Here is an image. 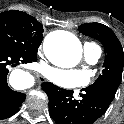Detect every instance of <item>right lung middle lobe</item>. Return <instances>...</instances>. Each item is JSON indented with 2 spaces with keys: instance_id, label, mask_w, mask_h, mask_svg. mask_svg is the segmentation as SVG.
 Segmentation results:
<instances>
[{
  "instance_id": "right-lung-middle-lobe-1",
  "label": "right lung middle lobe",
  "mask_w": 124,
  "mask_h": 124,
  "mask_svg": "<svg viewBox=\"0 0 124 124\" xmlns=\"http://www.w3.org/2000/svg\"><path fill=\"white\" fill-rule=\"evenodd\" d=\"M43 26L17 10L0 13V48L35 57L43 39Z\"/></svg>"
}]
</instances>
